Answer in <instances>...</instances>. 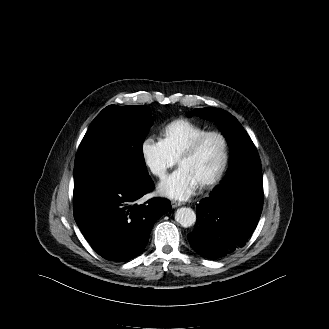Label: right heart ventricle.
<instances>
[{
  "mask_svg": "<svg viewBox=\"0 0 329 329\" xmlns=\"http://www.w3.org/2000/svg\"><path fill=\"white\" fill-rule=\"evenodd\" d=\"M205 131H207L205 127L192 121L176 119L163 127L161 130V140L170 153L178 159L188 144Z\"/></svg>",
  "mask_w": 329,
  "mask_h": 329,
  "instance_id": "right-heart-ventricle-1",
  "label": "right heart ventricle"
}]
</instances>
